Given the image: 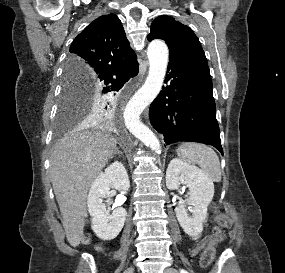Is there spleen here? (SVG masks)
I'll list each match as a JSON object with an SVG mask.
<instances>
[{
  "label": "spleen",
  "instance_id": "1",
  "mask_svg": "<svg viewBox=\"0 0 285 273\" xmlns=\"http://www.w3.org/2000/svg\"><path fill=\"white\" fill-rule=\"evenodd\" d=\"M177 154L184 162L199 165L202 172L211 181H221L219 158L210 147L204 144L186 142L178 147Z\"/></svg>",
  "mask_w": 285,
  "mask_h": 273
}]
</instances>
